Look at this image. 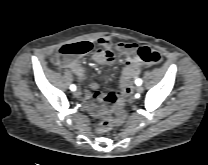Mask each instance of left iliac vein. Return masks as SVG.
Wrapping results in <instances>:
<instances>
[{"label":"left iliac vein","instance_id":"obj_1","mask_svg":"<svg viewBox=\"0 0 208 165\" xmlns=\"http://www.w3.org/2000/svg\"><path fill=\"white\" fill-rule=\"evenodd\" d=\"M136 91L138 92V93H142L143 92V87L142 86H137L136 87Z\"/></svg>","mask_w":208,"mask_h":165}]
</instances>
